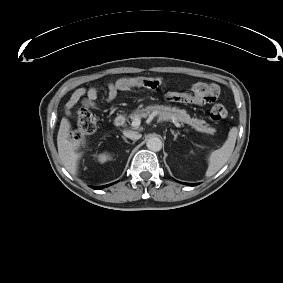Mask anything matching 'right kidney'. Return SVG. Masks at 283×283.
<instances>
[{"mask_svg": "<svg viewBox=\"0 0 283 283\" xmlns=\"http://www.w3.org/2000/svg\"><path fill=\"white\" fill-rule=\"evenodd\" d=\"M108 159H109V156L106 155V154H101L99 156V161L102 162V163L106 162Z\"/></svg>", "mask_w": 283, "mask_h": 283, "instance_id": "right-kidney-1", "label": "right kidney"}]
</instances>
